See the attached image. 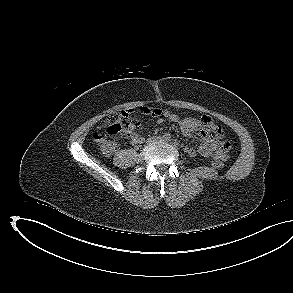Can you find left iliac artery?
Returning a JSON list of instances; mask_svg holds the SVG:
<instances>
[{"instance_id":"left-iliac-artery-1","label":"left iliac artery","mask_w":293,"mask_h":293,"mask_svg":"<svg viewBox=\"0 0 293 293\" xmlns=\"http://www.w3.org/2000/svg\"><path fill=\"white\" fill-rule=\"evenodd\" d=\"M174 145H175V146H177V145H178V143H177V142H174Z\"/></svg>"}]
</instances>
